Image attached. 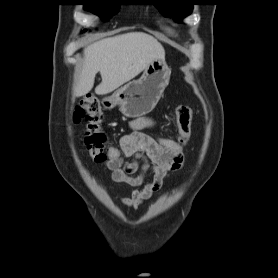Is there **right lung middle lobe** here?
Returning <instances> with one entry per match:
<instances>
[{
	"label": "right lung middle lobe",
	"mask_w": 278,
	"mask_h": 278,
	"mask_svg": "<svg viewBox=\"0 0 278 278\" xmlns=\"http://www.w3.org/2000/svg\"><path fill=\"white\" fill-rule=\"evenodd\" d=\"M118 0H84V8L95 14L100 15L102 20H109L119 11L120 3Z\"/></svg>",
	"instance_id": "1"
}]
</instances>
